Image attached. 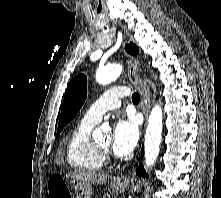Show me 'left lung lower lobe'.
Returning <instances> with one entry per match:
<instances>
[{"label":"left lung lower lobe","instance_id":"0a47b994","mask_svg":"<svg viewBox=\"0 0 221 198\" xmlns=\"http://www.w3.org/2000/svg\"><path fill=\"white\" fill-rule=\"evenodd\" d=\"M136 173L140 176L148 177V174L145 172L142 164H140L139 167H137Z\"/></svg>","mask_w":221,"mask_h":198}]
</instances>
